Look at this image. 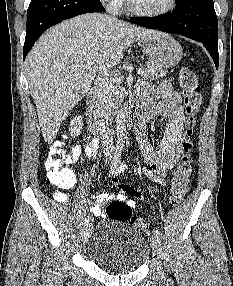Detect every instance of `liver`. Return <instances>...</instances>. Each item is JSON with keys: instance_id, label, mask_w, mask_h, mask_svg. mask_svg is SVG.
<instances>
[{"instance_id": "obj_1", "label": "liver", "mask_w": 233, "mask_h": 286, "mask_svg": "<svg viewBox=\"0 0 233 286\" xmlns=\"http://www.w3.org/2000/svg\"><path fill=\"white\" fill-rule=\"evenodd\" d=\"M165 33L99 13L79 15L47 30L28 54L26 77L46 143L90 89L98 69L108 70L135 41Z\"/></svg>"}]
</instances>
